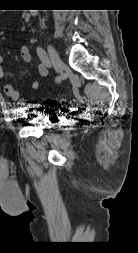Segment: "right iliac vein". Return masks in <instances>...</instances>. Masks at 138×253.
Returning a JSON list of instances; mask_svg holds the SVG:
<instances>
[{
    "label": "right iliac vein",
    "mask_w": 138,
    "mask_h": 253,
    "mask_svg": "<svg viewBox=\"0 0 138 253\" xmlns=\"http://www.w3.org/2000/svg\"><path fill=\"white\" fill-rule=\"evenodd\" d=\"M48 53H49V56H50V59H51V62H52V65H53L55 71L59 74L62 73L64 63L61 60L55 47L51 44H48Z\"/></svg>",
    "instance_id": "63e3f726"
}]
</instances>
